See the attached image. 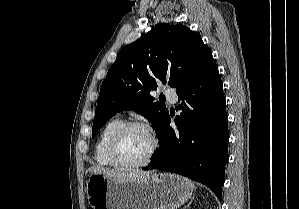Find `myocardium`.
Here are the masks:
<instances>
[{
  "mask_svg": "<svg viewBox=\"0 0 299 209\" xmlns=\"http://www.w3.org/2000/svg\"><path fill=\"white\" fill-rule=\"evenodd\" d=\"M140 129L144 131L150 139V148L145 158L139 162L126 164L117 159V146L121 136L130 129ZM159 146L157 136L153 129L146 123L140 121H128L121 124L113 133L108 145V157L113 167L118 169H137L146 166L154 157Z\"/></svg>",
  "mask_w": 299,
  "mask_h": 209,
  "instance_id": "myocardium-1",
  "label": "myocardium"
}]
</instances>
